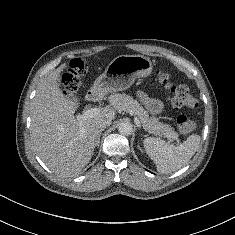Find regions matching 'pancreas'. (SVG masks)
Masks as SVG:
<instances>
[{"mask_svg":"<svg viewBox=\"0 0 235 235\" xmlns=\"http://www.w3.org/2000/svg\"><path fill=\"white\" fill-rule=\"evenodd\" d=\"M109 101L115 109L135 115L143 128L149 133L166 137L169 140L178 138V134L174 131L173 127L159 122V119L156 117H149L148 112L131 96L115 93L109 97Z\"/></svg>","mask_w":235,"mask_h":235,"instance_id":"pancreas-1","label":"pancreas"}]
</instances>
